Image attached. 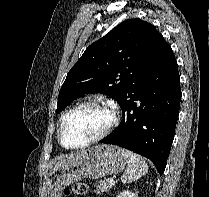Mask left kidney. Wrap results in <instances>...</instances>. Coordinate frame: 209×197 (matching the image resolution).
Returning a JSON list of instances; mask_svg holds the SVG:
<instances>
[{"label":"left kidney","mask_w":209,"mask_h":197,"mask_svg":"<svg viewBox=\"0 0 209 197\" xmlns=\"http://www.w3.org/2000/svg\"><path fill=\"white\" fill-rule=\"evenodd\" d=\"M117 197H137V195L131 191L124 190Z\"/></svg>","instance_id":"left-kidney-1"}]
</instances>
